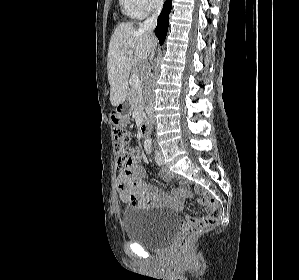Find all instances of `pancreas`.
Returning a JSON list of instances; mask_svg holds the SVG:
<instances>
[{
    "label": "pancreas",
    "mask_w": 299,
    "mask_h": 280,
    "mask_svg": "<svg viewBox=\"0 0 299 280\" xmlns=\"http://www.w3.org/2000/svg\"><path fill=\"white\" fill-rule=\"evenodd\" d=\"M128 102L131 108H137L140 112L143 111L144 101L142 96V87L131 89L128 93Z\"/></svg>",
    "instance_id": "obj_1"
}]
</instances>
